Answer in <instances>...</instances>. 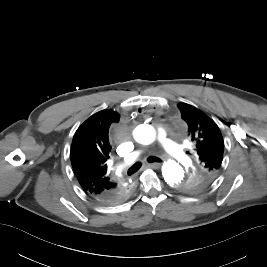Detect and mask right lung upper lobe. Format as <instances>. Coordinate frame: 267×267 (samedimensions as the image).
I'll return each instance as SVG.
<instances>
[{
	"mask_svg": "<svg viewBox=\"0 0 267 267\" xmlns=\"http://www.w3.org/2000/svg\"><path fill=\"white\" fill-rule=\"evenodd\" d=\"M118 121L116 112L102 110L87 119L74 134L71 164L79 184L89 196H100L125 185L110 177L106 164L111 151L109 127Z\"/></svg>",
	"mask_w": 267,
	"mask_h": 267,
	"instance_id": "1",
	"label": "right lung upper lobe"
}]
</instances>
